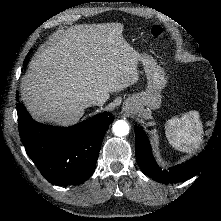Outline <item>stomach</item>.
<instances>
[{"label": "stomach", "instance_id": "0dacf381", "mask_svg": "<svg viewBox=\"0 0 221 221\" xmlns=\"http://www.w3.org/2000/svg\"><path fill=\"white\" fill-rule=\"evenodd\" d=\"M139 62L147 79V89L128 98L134 103L135 110L145 117L149 109H157L161 105L160 91L167 85V77L157 61L147 54H141Z\"/></svg>", "mask_w": 221, "mask_h": 221}]
</instances>
